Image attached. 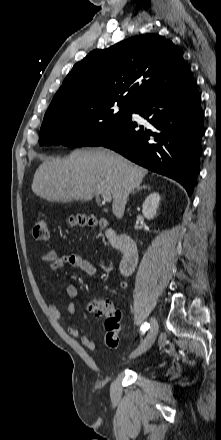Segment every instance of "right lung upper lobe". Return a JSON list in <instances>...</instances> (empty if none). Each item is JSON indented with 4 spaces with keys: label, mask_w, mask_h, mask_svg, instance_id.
Returning <instances> with one entry per match:
<instances>
[{
    "label": "right lung upper lobe",
    "mask_w": 221,
    "mask_h": 440,
    "mask_svg": "<svg viewBox=\"0 0 221 440\" xmlns=\"http://www.w3.org/2000/svg\"><path fill=\"white\" fill-rule=\"evenodd\" d=\"M190 79L185 61L171 41L153 33L139 35L96 49L76 63L47 111L107 103L134 107Z\"/></svg>",
    "instance_id": "right-lung-upper-lobe-1"
}]
</instances>
